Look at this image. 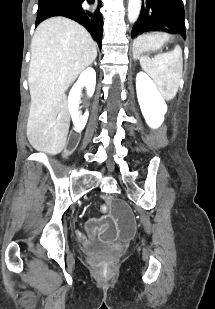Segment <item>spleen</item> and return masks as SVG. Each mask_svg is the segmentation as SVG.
<instances>
[{
    "mask_svg": "<svg viewBox=\"0 0 215 309\" xmlns=\"http://www.w3.org/2000/svg\"><path fill=\"white\" fill-rule=\"evenodd\" d=\"M181 58L182 50L179 44H176L175 48L169 52L155 54L154 58L150 56L139 58L143 70L153 78L156 88L165 100H172L178 92Z\"/></svg>",
    "mask_w": 215,
    "mask_h": 309,
    "instance_id": "3e777b00",
    "label": "spleen"
}]
</instances>
